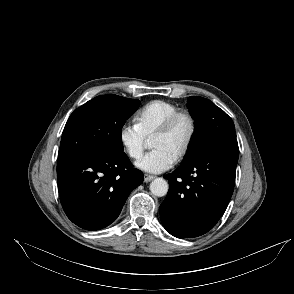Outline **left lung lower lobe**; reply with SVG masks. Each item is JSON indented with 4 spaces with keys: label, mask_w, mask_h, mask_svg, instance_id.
Segmentation results:
<instances>
[{
    "label": "left lung lower lobe",
    "mask_w": 294,
    "mask_h": 294,
    "mask_svg": "<svg viewBox=\"0 0 294 294\" xmlns=\"http://www.w3.org/2000/svg\"><path fill=\"white\" fill-rule=\"evenodd\" d=\"M238 156L236 137H227L165 176L169 191L160 218L171 235L197 237L215 226L234 190Z\"/></svg>",
    "instance_id": "obj_1"
}]
</instances>
